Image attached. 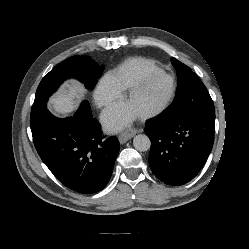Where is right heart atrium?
Segmentation results:
<instances>
[{
  "instance_id": "right-heart-atrium-1",
  "label": "right heart atrium",
  "mask_w": 249,
  "mask_h": 249,
  "mask_svg": "<svg viewBox=\"0 0 249 249\" xmlns=\"http://www.w3.org/2000/svg\"><path fill=\"white\" fill-rule=\"evenodd\" d=\"M122 96L121 91L115 86L110 75L104 76L94 94L95 102L101 109H107Z\"/></svg>"
}]
</instances>
